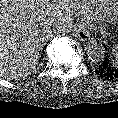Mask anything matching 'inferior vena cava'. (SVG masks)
<instances>
[{
	"label": "inferior vena cava",
	"instance_id": "1",
	"mask_svg": "<svg viewBox=\"0 0 118 118\" xmlns=\"http://www.w3.org/2000/svg\"><path fill=\"white\" fill-rule=\"evenodd\" d=\"M61 26H58V25H53L52 27H51V31L52 32H54V33H57V32H59V31H61Z\"/></svg>",
	"mask_w": 118,
	"mask_h": 118
}]
</instances>
